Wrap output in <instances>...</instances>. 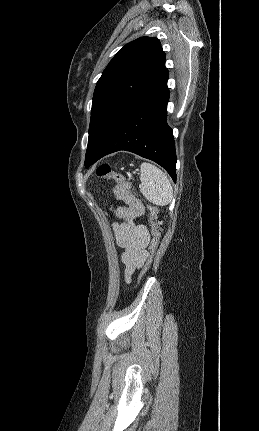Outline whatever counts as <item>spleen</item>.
I'll use <instances>...</instances> for the list:
<instances>
[{
    "instance_id": "obj_1",
    "label": "spleen",
    "mask_w": 259,
    "mask_h": 431,
    "mask_svg": "<svg viewBox=\"0 0 259 431\" xmlns=\"http://www.w3.org/2000/svg\"><path fill=\"white\" fill-rule=\"evenodd\" d=\"M140 168V191L143 196L158 206L169 204L172 200L173 189L166 174L148 162H143Z\"/></svg>"
}]
</instances>
